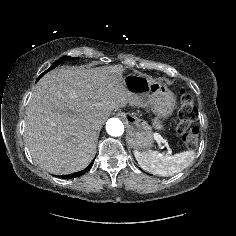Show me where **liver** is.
<instances>
[{
  "label": "liver",
  "mask_w": 236,
  "mask_h": 236,
  "mask_svg": "<svg viewBox=\"0 0 236 236\" xmlns=\"http://www.w3.org/2000/svg\"><path fill=\"white\" fill-rule=\"evenodd\" d=\"M130 101L118 65L47 73L26 108L25 136L33 160L53 174L86 168L95 156L99 128L112 110ZM95 121L99 128L92 127Z\"/></svg>",
  "instance_id": "obj_1"
}]
</instances>
